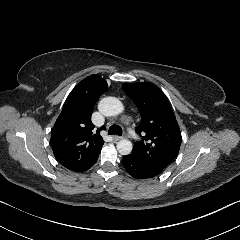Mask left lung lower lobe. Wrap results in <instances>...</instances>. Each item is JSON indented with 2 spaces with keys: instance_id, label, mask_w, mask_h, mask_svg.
I'll list each match as a JSON object with an SVG mask.
<instances>
[{
  "instance_id": "1",
  "label": "left lung lower lobe",
  "mask_w": 240,
  "mask_h": 240,
  "mask_svg": "<svg viewBox=\"0 0 240 240\" xmlns=\"http://www.w3.org/2000/svg\"><path fill=\"white\" fill-rule=\"evenodd\" d=\"M122 163L126 171L135 179H148L158 175L162 170L149 167L134 159L130 154L123 156Z\"/></svg>"
}]
</instances>
